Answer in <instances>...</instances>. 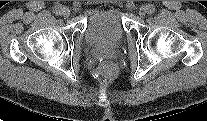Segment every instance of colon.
Listing matches in <instances>:
<instances>
[{
  "label": "colon",
  "mask_w": 207,
  "mask_h": 121,
  "mask_svg": "<svg viewBox=\"0 0 207 121\" xmlns=\"http://www.w3.org/2000/svg\"><path fill=\"white\" fill-rule=\"evenodd\" d=\"M116 67L113 63L106 62L100 67V73L104 76L111 77L115 74Z\"/></svg>",
  "instance_id": "5ec220e1"
}]
</instances>
